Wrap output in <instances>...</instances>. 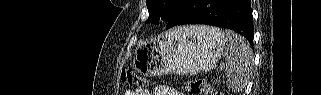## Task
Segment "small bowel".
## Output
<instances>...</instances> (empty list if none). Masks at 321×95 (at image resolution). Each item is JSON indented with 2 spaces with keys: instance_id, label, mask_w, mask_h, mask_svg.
Masks as SVG:
<instances>
[{
  "instance_id": "1",
  "label": "small bowel",
  "mask_w": 321,
  "mask_h": 95,
  "mask_svg": "<svg viewBox=\"0 0 321 95\" xmlns=\"http://www.w3.org/2000/svg\"><path fill=\"white\" fill-rule=\"evenodd\" d=\"M129 95H150V93L144 89H137L135 92H128ZM155 95H184V93L178 92L176 89L166 86L160 85L155 89Z\"/></svg>"
}]
</instances>
